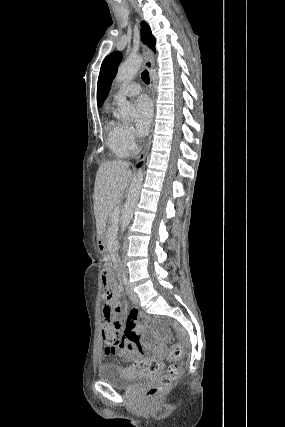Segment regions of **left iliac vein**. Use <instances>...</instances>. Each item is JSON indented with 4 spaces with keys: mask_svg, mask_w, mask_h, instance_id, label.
<instances>
[{
    "mask_svg": "<svg viewBox=\"0 0 285 427\" xmlns=\"http://www.w3.org/2000/svg\"><path fill=\"white\" fill-rule=\"evenodd\" d=\"M126 292L130 298V300L134 303V304H138L139 303V297L137 295V293L133 290L132 287H127L126 288Z\"/></svg>",
    "mask_w": 285,
    "mask_h": 427,
    "instance_id": "left-iliac-vein-1",
    "label": "left iliac vein"
}]
</instances>
